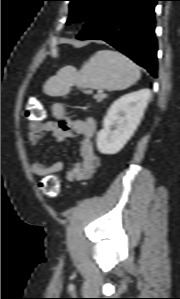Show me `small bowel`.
I'll list each match as a JSON object with an SVG mask.
<instances>
[{
	"instance_id": "small-bowel-1",
	"label": "small bowel",
	"mask_w": 180,
	"mask_h": 299,
	"mask_svg": "<svg viewBox=\"0 0 180 299\" xmlns=\"http://www.w3.org/2000/svg\"><path fill=\"white\" fill-rule=\"evenodd\" d=\"M53 119L33 120L27 124V135L32 147L36 146L46 135L52 136L56 142L82 136L79 147V161L65 175L69 182L89 179L100 165V159L95 153L93 137L96 133V123L93 118L71 119L67 116L66 108L61 102H55L51 107ZM64 168L62 161L45 164L34 161L30 164L32 173L38 177L53 175Z\"/></svg>"
}]
</instances>
